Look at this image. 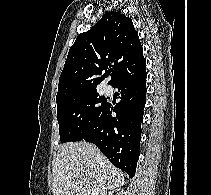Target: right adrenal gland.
Segmentation results:
<instances>
[{
	"label": "right adrenal gland",
	"instance_id": "obj_1",
	"mask_svg": "<svg viewBox=\"0 0 211 195\" xmlns=\"http://www.w3.org/2000/svg\"><path fill=\"white\" fill-rule=\"evenodd\" d=\"M115 190H110L108 193H105L104 195H113Z\"/></svg>",
	"mask_w": 211,
	"mask_h": 195
}]
</instances>
